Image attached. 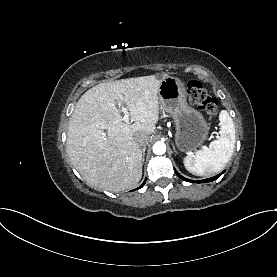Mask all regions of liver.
<instances>
[{"label":"liver","instance_id":"liver-1","mask_svg":"<svg viewBox=\"0 0 277 277\" xmlns=\"http://www.w3.org/2000/svg\"><path fill=\"white\" fill-rule=\"evenodd\" d=\"M155 75L98 84L78 100L70 117L66 149L71 163L91 186L119 192L142 177V150L135 135L154 133L159 118ZM124 103L133 123H124Z\"/></svg>","mask_w":277,"mask_h":277}]
</instances>
